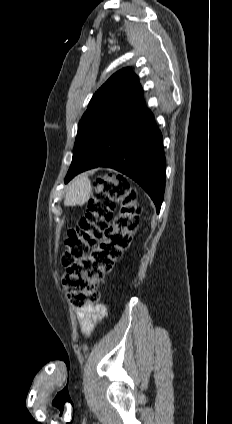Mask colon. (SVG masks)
Returning <instances> with one entry per match:
<instances>
[{
    "label": "colon",
    "instance_id": "1",
    "mask_svg": "<svg viewBox=\"0 0 232 424\" xmlns=\"http://www.w3.org/2000/svg\"><path fill=\"white\" fill-rule=\"evenodd\" d=\"M140 215L138 194L125 180L109 174L95 178L87 210L68 233L61 258L62 283L73 306L85 309L99 300L98 286L131 244Z\"/></svg>",
    "mask_w": 232,
    "mask_h": 424
}]
</instances>
